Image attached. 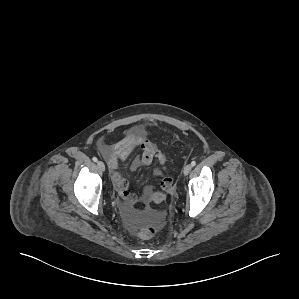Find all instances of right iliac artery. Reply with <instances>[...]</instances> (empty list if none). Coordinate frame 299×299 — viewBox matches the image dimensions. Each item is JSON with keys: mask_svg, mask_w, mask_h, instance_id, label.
<instances>
[{"mask_svg": "<svg viewBox=\"0 0 299 299\" xmlns=\"http://www.w3.org/2000/svg\"><path fill=\"white\" fill-rule=\"evenodd\" d=\"M92 160H93L94 162H97V161H98L97 157H93Z\"/></svg>", "mask_w": 299, "mask_h": 299, "instance_id": "1", "label": "right iliac artery"}]
</instances>
